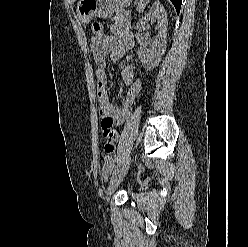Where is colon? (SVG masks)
<instances>
[{"label": "colon", "mask_w": 248, "mask_h": 247, "mask_svg": "<svg viewBox=\"0 0 248 247\" xmlns=\"http://www.w3.org/2000/svg\"><path fill=\"white\" fill-rule=\"evenodd\" d=\"M92 32L94 36H97V37L102 36L104 34L102 24L100 22H94L92 24ZM142 88H143V84L140 80L134 81V83L131 85V88L129 92L127 93L126 99L116 119V123H115L116 126H121L125 122L128 116V113L130 109L133 107V105L135 104L137 98L139 97L142 91Z\"/></svg>", "instance_id": "colon-1"}]
</instances>
